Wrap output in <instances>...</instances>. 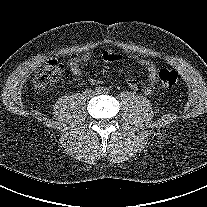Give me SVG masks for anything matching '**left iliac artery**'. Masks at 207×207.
<instances>
[{"mask_svg": "<svg viewBox=\"0 0 207 207\" xmlns=\"http://www.w3.org/2000/svg\"><path fill=\"white\" fill-rule=\"evenodd\" d=\"M109 92V89L108 88H104L103 89V93H108Z\"/></svg>", "mask_w": 207, "mask_h": 207, "instance_id": "left-iliac-artery-1", "label": "left iliac artery"}]
</instances>
